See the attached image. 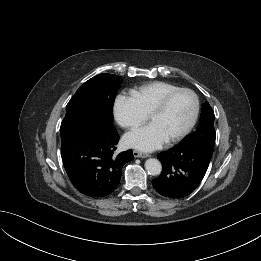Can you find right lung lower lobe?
Segmentation results:
<instances>
[{
	"label": "right lung lower lobe",
	"mask_w": 261,
	"mask_h": 261,
	"mask_svg": "<svg viewBox=\"0 0 261 261\" xmlns=\"http://www.w3.org/2000/svg\"><path fill=\"white\" fill-rule=\"evenodd\" d=\"M61 155L74 187L90 197H104L119 185L123 165L132 150L115 153L119 135L114 127L76 129L61 137Z\"/></svg>",
	"instance_id": "obj_1"
}]
</instances>
